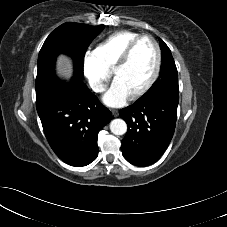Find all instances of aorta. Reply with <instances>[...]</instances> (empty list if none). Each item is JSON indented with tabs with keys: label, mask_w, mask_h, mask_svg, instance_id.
I'll list each match as a JSON object with an SVG mask.
<instances>
[{
	"label": "aorta",
	"mask_w": 227,
	"mask_h": 227,
	"mask_svg": "<svg viewBox=\"0 0 227 227\" xmlns=\"http://www.w3.org/2000/svg\"><path fill=\"white\" fill-rule=\"evenodd\" d=\"M110 130L115 135H123L127 131V124L122 119H114L110 123Z\"/></svg>",
	"instance_id": "obj_1"
}]
</instances>
